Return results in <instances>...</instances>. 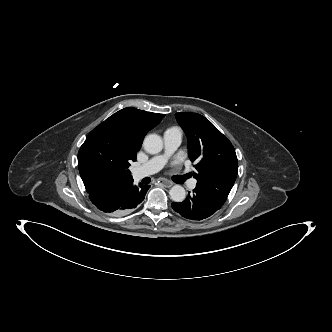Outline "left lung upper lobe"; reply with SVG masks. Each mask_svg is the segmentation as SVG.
I'll return each mask as SVG.
<instances>
[{"label": "left lung upper lobe", "mask_w": 332, "mask_h": 332, "mask_svg": "<svg viewBox=\"0 0 332 332\" xmlns=\"http://www.w3.org/2000/svg\"><path fill=\"white\" fill-rule=\"evenodd\" d=\"M175 116L188 137L189 158L196 163V189L224 204L238 172L233 145L202 115L183 112Z\"/></svg>", "instance_id": "1"}]
</instances>
